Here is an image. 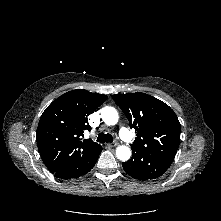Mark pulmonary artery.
Listing matches in <instances>:
<instances>
[{"label": "pulmonary artery", "mask_w": 221, "mask_h": 221, "mask_svg": "<svg viewBox=\"0 0 221 221\" xmlns=\"http://www.w3.org/2000/svg\"><path fill=\"white\" fill-rule=\"evenodd\" d=\"M119 134H120L121 138L124 140L130 139V133H129L128 129L125 127L120 128Z\"/></svg>", "instance_id": "e3ab8cb5"}]
</instances>
